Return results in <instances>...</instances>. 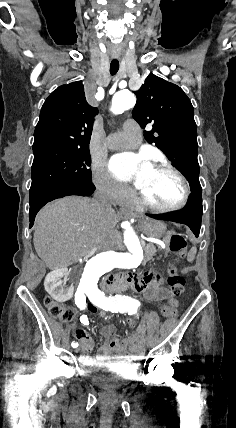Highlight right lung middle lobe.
<instances>
[{"label":"right lung middle lobe","instance_id":"1","mask_svg":"<svg viewBox=\"0 0 236 428\" xmlns=\"http://www.w3.org/2000/svg\"><path fill=\"white\" fill-rule=\"evenodd\" d=\"M30 192L64 183L90 184L92 181L89 146L33 150Z\"/></svg>","mask_w":236,"mask_h":428}]
</instances>
